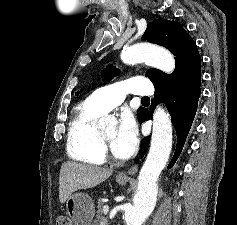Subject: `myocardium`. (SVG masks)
Masks as SVG:
<instances>
[{
    "label": "myocardium",
    "mask_w": 237,
    "mask_h": 225,
    "mask_svg": "<svg viewBox=\"0 0 237 225\" xmlns=\"http://www.w3.org/2000/svg\"><path fill=\"white\" fill-rule=\"evenodd\" d=\"M99 137H100V141H101V145H102L103 154H104L105 159L115 161V162L119 161V158L116 157L113 154L107 139L105 138L103 132L100 131V130H99Z\"/></svg>",
    "instance_id": "1"
}]
</instances>
